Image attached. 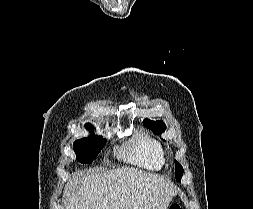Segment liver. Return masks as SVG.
<instances>
[{"instance_id":"liver-1","label":"liver","mask_w":253,"mask_h":209,"mask_svg":"<svg viewBox=\"0 0 253 209\" xmlns=\"http://www.w3.org/2000/svg\"><path fill=\"white\" fill-rule=\"evenodd\" d=\"M176 193L169 179L125 167L80 171L64 195L66 209H167Z\"/></svg>"}]
</instances>
